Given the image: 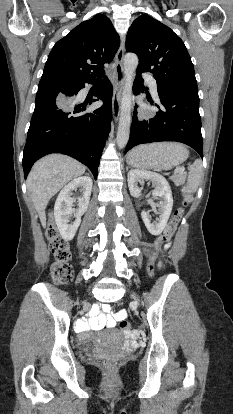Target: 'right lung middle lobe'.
I'll return each mask as SVG.
<instances>
[{"label":"right lung middle lobe","instance_id":"obj_1","mask_svg":"<svg viewBox=\"0 0 233 414\" xmlns=\"http://www.w3.org/2000/svg\"><path fill=\"white\" fill-rule=\"evenodd\" d=\"M79 82L69 81V80H57V79H46L40 80L38 89L43 88H57L61 90L71 89L73 86L78 85Z\"/></svg>","mask_w":233,"mask_h":414}]
</instances>
